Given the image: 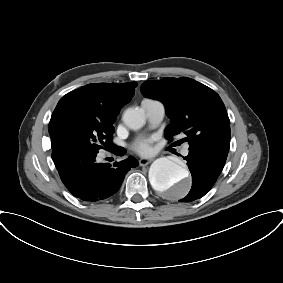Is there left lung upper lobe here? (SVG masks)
I'll list each match as a JSON object with an SVG mask.
<instances>
[{"mask_svg": "<svg viewBox=\"0 0 283 283\" xmlns=\"http://www.w3.org/2000/svg\"><path fill=\"white\" fill-rule=\"evenodd\" d=\"M144 96L160 99L171 123L166 138L184 133L189 153L224 166L230 148V121L219 95L188 77L146 81Z\"/></svg>", "mask_w": 283, "mask_h": 283, "instance_id": "left-lung-upper-lobe-1", "label": "left lung upper lobe"}]
</instances>
